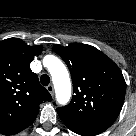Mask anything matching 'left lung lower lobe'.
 Wrapping results in <instances>:
<instances>
[{"label":"left lung lower lobe","mask_w":136,"mask_h":136,"mask_svg":"<svg viewBox=\"0 0 136 136\" xmlns=\"http://www.w3.org/2000/svg\"><path fill=\"white\" fill-rule=\"evenodd\" d=\"M73 132L83 136H94L104 132L109 126L105 124L67 125Z\"/></svg>","instance_id":"1"}]
</instances>
